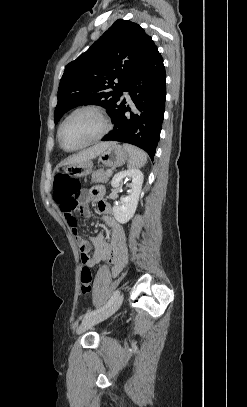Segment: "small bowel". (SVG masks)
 <instances>
[{"mask_svg":"<svg viewBox=\"0 0 247 407\" xmlns=\"http://www.w3.org/2000/svg\"><path fill=\"white\" fill-rule=\"evenodd\" d=\"M103 195L104 189L96 186L85 194L84 199L97 202V208L110 230L109 241L103 233L91 237L90 240H85L79 235L77 214L89 215V210L82 197L75 196L73 199L59 203V205L66 223L79 246L83 265L93 267L99 262L107 260L112 264V272L116 276L127 263L128 250L123 228L113 215L110 204L102 199ZM92 247L94 251L90 255Z\"/></svg>","mask_w":247,"mask_h":407,"instance_id":"c3829d8e","label":"small bowel"}]
</instances>
